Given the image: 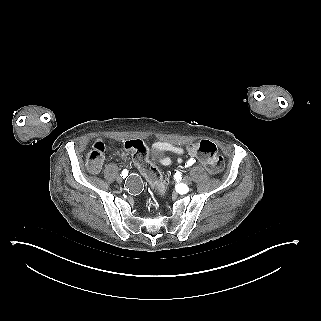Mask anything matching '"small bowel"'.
I'll return each instance as SVG.
<instances>
[{
    "label": "small bowel",
    "instance_id": "c3829d8e",
    "mask_svg": "<svg viewBox=\"0 0 321 321\" xmlns=\"http://www.w3.org/2000/svg\"><path fill=\"white\" fill-rule=\"evenodd\" d=\"M99 141H102V139H99ZM109 145L112 146L113 143L109 141ZM154 148L159 151L172 152L178 156L177 162L180 163L182 161L181 156L184 154V149L180 146L168 142H157L154 144ZM171 162V159L168 157H164L160 160V163H162L163 165H169Z\"/></svg>",
    "mask_w": 321,
    "mask_h": 321
}]
</instances>
